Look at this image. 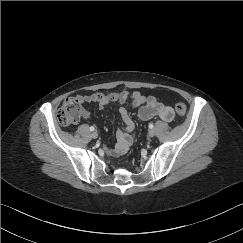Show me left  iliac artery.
<instances>
[{
  "mask_svg": "<svg viewBox=\"0 0 243 243\" xmlns=\"http://www.w3.org/2000/svg\"><path fill=\"white\" fill-rule=\"evenodd\" d=\"M153 127H154L153 123H150V124H149V128H150V129H153Z\"/></svg>",
  "mask_w": 243,
  "mask_h": 243,
  "instance_id": "obj_1",
  "label": "left iliac artery"
}]
</instances>
